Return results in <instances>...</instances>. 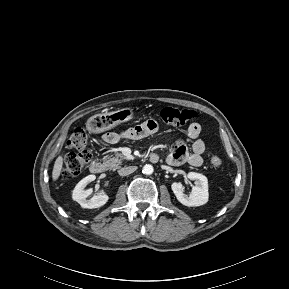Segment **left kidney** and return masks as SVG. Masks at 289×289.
Segmentation results:
<instances>
[{"mask_svg": "<svg viewBox=\"0 0 289 289\" xmlns=\"http://www.w3.org/2000/svg\"><path fill=\"white\" fill-rule=\"evenodd\" d=\"M187 177L195 181V186H193L189 195L184 194L183 185L180 182H174L171 185L177 200L188 207L206 204L209 198L207 178L204 175L195 172L188 173Z\"/></svg>", "mask_w": 289, "mask_h": 289, "instance_id": "left-kidney-1", "label": "left kidney"}]
</instances>
